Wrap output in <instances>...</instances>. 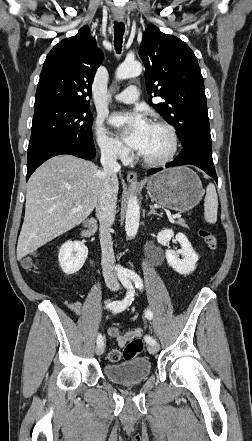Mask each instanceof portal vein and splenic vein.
<instances>
[{"label": "portal vein and splenic vein", "instance_id": "1", "mask_svg": "<svg viewBox=\"0 0 252 441\" xmlns=\"http://www.w3.org/2000/svg\"><path fill=\"white\" fill-rule=\"evenodd\" d=\"M83 209V207L82 206H79V207H77L75 210L76 211H80V210H82ZM181 218V214H176V215H173L172 216V219H180Z\"/></svg>", "mask_w": 252, "mask_h": 441}]
</instances>
